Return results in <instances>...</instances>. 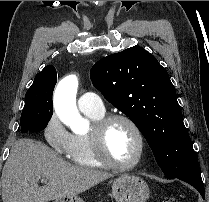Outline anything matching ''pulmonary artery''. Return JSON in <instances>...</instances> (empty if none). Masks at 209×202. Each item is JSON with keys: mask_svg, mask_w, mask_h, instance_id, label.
Segmentation results:
<instances>
[{"mask_svg": "<svg viewBox=\"0 0 209 202\" xmlns=\"http://www.w3.org/2000/svg\"><path fill=\"white\" fill-rule=\"evenodd\" d=\"M78 108L82 112L104 113L105 107L101 97L93 91L83 93L77 101Z\"/></svg>", "mask_w": 209, "mask_h": 202, "instance_id": "1", "label": "pulmonary artery"}]
</instances>
